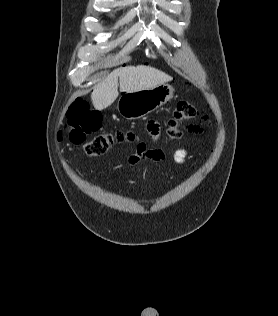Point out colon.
Wrapping results in <instances>:
<instances>
[{
    "mask_svg": "<svg viewBox=\"0 0 278 316\" xmlns=\"http://www.w3.org/2000/svg\"><path fill=\"white\" fill-rule=\"evenodd\" d=\"M202 115L190 103L178 101L172 117L167 122V135L170 139H181L185 133H198L200 127L190 122L198 123ZM102 116L89 109L88 103L83 99L75 100L69 107L67 115L68 135L72 142L80 144L86 135L97 132L101 128ZM138 135L132 130L117 131L114 133L99 134L85 144V152L90 157L103 155L117 143H133Z\"/></svg>",
    "mask_w": 278,
    "mask_h": 316,
    "instance_id": "5ec220e1",
    "label": "colon"
}]
</instances>
